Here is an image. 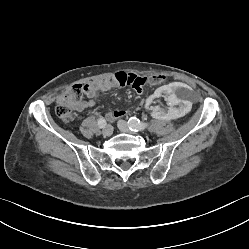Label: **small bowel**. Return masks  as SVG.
<instances>
[{
    "mask_svg": "<svg viewBox=\"0 0 249 249\" xmlns=\"http://www.w3.org/2000/svg\"><path fill=\"white\" fill-rule=\"evenodd\" d=\"M135 76L132 73L118 72L106 78L94 81L85 85V94L87 101L79 103L76 106L77 110H83L87 107L95 106L98 98V92H106L112 89L128 86L127 82L130 77ZM158 76V75H157ZM156 84V83H155ZM173 84V83H172ZM156 92V91H155ZM125 114L122 110H116L114 112H108L107 117L109 119H117Z\"/></svg>",
    "mask_w": 249,
    "mask_h": 249,
    "instance_id": "c3829d8e",
    "label": "small bowel"
}]
</instances>
